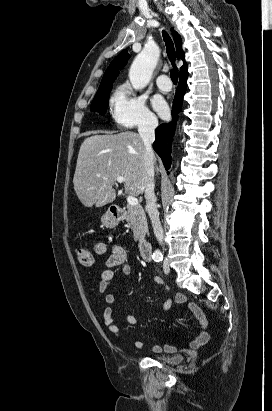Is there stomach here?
<instances>
[{
  "label": "stomach",
  "instance_id": "1",
  "mask_svg": "<svg viewBox=\"0 0 272 411\" xmlns=\"http://www.w3.org/2000/svg\"><path fill=\"white\" fill-rule=\"evenodd\" d=\"M102 224L107 228H113L119 223V219L112 216L110 213H105L101 218Z\"/></svg>",
  "mask_w": 272,
  "mask_h": 411
}]
</instances>
